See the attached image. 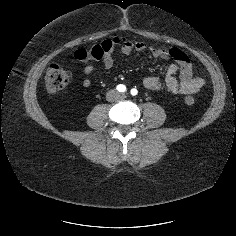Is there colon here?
<instances>
[{
	"instance_id": "obj_1",
	"label": "colon",
	"mask_w": 236,
	"mask_h": 236,
	"mask_svg": "<svg viewBox=\"0 0 236 236\" xmlns=\"http://www.w3.org/2000/svg\"><path fill=\"white\" fill-rule=\"evenodd\" d=\"M122 42L120 38H114L112 40H104L101 43L93 46L90 49H79L75 52V58L82 63L88 61L102 60L115 46ZM71 75L69 71L56 63H52L48 66L45 74V86L48 92L56 93L64 89L69 83ZM188 105L194 103V98L188 96L185 98Z\"/></svg>"
}]
</instances>
